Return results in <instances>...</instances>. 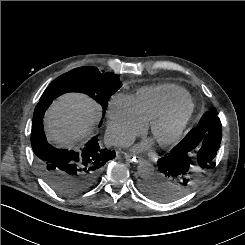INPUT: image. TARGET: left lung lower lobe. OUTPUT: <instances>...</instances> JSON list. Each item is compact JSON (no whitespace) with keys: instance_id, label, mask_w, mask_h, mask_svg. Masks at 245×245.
Listing matches in <instances>:
<instances>
[{"instance_id":"obj_1","label":"left lung lower lobe","mask_w":245,"mask_h":245,"mask_svg":"<svg viewBox=\"0 0 245 245\" xmlns=\"http://www.w3.org/2000/svg\"><path fill=\"white\" fill-rule=\"evenodd\" d=\"M222 126L215 113L206 112L198 125L157 161V177L143 190L157 200H169L192 187L217 155Z\"/></svg>"}]
</instances>
